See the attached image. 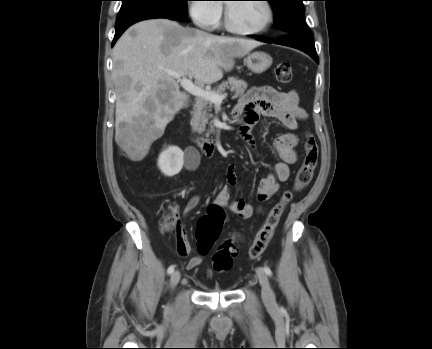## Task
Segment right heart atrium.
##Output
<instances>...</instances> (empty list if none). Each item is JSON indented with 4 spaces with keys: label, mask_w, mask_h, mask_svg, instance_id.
<instances>
[{
    "label": "right heart atrium",
    "mask_w": 432,
    "mask_h": 349,
    "mask_svg": "<svg viewBox=\"0 0 432 349\" xmlns=\"http://www.w3.org/2000/svg\"><path fill=\"white\" fill-rule=\"evenodd\" d=\"M188 10L194 23L203 29L214 28L222 14V6L216 0H192Z\"/></svg>",
    "instance_id": "obj_1"
}]
</instances>
